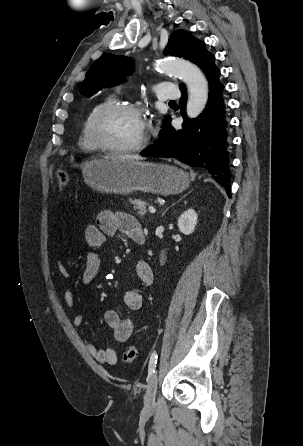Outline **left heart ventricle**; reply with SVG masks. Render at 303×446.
Returning a JSON list of instances; mask_svg holds the SVG:
<instances>
[{
    "mask_svg": "<svg viewBox=\"0 0 303 446\" xmlns=\"http://www.w3.org/2000/svg\"><path fill=\"white\" fill-rule=\"evenodd\" d=\"M146 133L142 116L131 112H116L101 122V137L114 146H129L140 141Z\"/></svg>",
    "mask_w": 303,
    "mask_h": 446,
    "instance_id": "obj_1",
    "label": "left heart ventricle"
}]
</instances>
